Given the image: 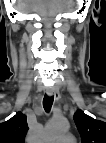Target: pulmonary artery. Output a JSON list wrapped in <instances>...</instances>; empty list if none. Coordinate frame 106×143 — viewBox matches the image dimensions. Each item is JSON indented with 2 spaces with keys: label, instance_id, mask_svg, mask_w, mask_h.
Here are the masks:
<instances>
[{
  "label": "pulmonary artery",
  "instance_id": "pulmonary-artery-1",
  "mask_svg": "<svg viewBox=\"0 0 106 143\" xmlns=\"http://www.w3.org/2000/svg\"><path fill=\"white\" fill-rule=\"evenodd\" d=\"M63 140L69 142V141H72V140H74V139H73V137H72L71 135H67V136H64V137H63Z\"/></svg>",
  "mask_w": 106,
  "mask_h": 143
}]
</instances>
